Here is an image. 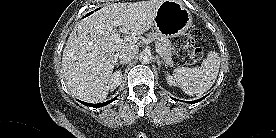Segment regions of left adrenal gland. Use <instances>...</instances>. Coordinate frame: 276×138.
Segmentation results:
<instances>
[{"label": "left adrenal gland", "mask_w": 276, "mask_h": 138, "mask_svg": "<svg viewBox=\"0 0 276 138\" xmlns=\"http://www.w3.org/2000/svg\"><path fill=\"white\" fill-rule=\"evenodd\" d=\"M156 59H157V64H158L159 68H160L161 64L165 65V67H167V65L163 61L160 60V58L158 57V55L156 56Z\"/></svg>", "instance_id": "a2214340"}]
</instances>
